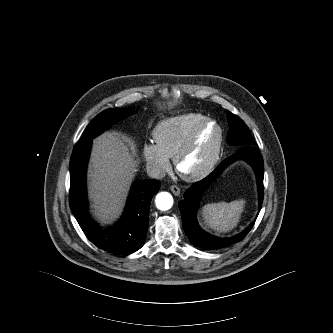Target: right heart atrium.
<instances>
[{"mask_svg":"<svg viewBox=\"0 0 333 333\" xmlns=\"http://www.w3.org/2000/svg\"><path fill=\"white\" fill-rule=\"evenodd\" d=\"M143 156L149 170L156 176H162L170 170V161L153 143L143 146Z\"/></svg>","mask_w":333,"mask_h":333,"instance_id":"right-heart-atrium-1","label":"right heart atrium"}]
</instances>
